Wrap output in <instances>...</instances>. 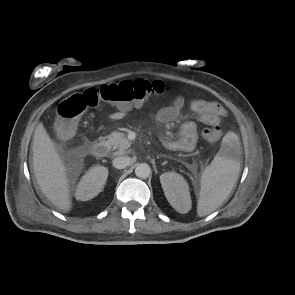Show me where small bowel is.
Returning <instances> with one entry per match:
<instances>
[{"instance_id": "c3829d8e", "label": "small bowel", "mask_w": 295, "mask_h": 295, "mask_svg": "<svg viewBox=\"0 0 295 295\" xmlns=\"http://www.w3.org/2000/svg\"><path fill=\"white\" fill-rule=\"evenodd\" d=\"M184 105V99L177 96L171 105L158 110L154 114V119L158 123H167L177 119ZM190 109L197 115L198 119L206 124L213 125L219 123L226 115L225 109L218 103L203 99H194L190 102ZM131 109L118 108L117 111L110 114V119L121 120L127 117ZM165 147L171 150L191 151L197 142V128L194 122H186L182 125L180 136L177 139L168 137L162 140Z\"/></svg>"}]
</instances>
